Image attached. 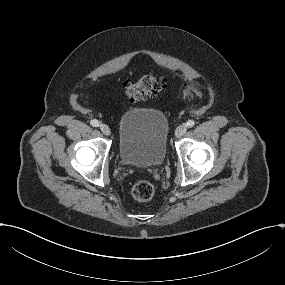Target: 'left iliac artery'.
<instances>
[{
  "mask_svg": "<svg viewBox=\"0 0 285 285\" xmlns=\"http://www.w3.org/2000/svg\"><path fill=\"white\" fill-rule=\"evenodd\" d=\"M195 125V122L193 120H189L187 123H186V126L191 128Z\"/></svg>",
  "mask_w": 285,
  "mask_h": 285,
  "instance_id": "obj_1",
  "label": "left iliac artery"
}]
</instances>
